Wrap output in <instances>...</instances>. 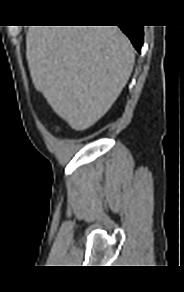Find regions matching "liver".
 Instances as JSON below:
<instances>
[{
  "label": "liver",
  "mask_w": 184,
  "mask_h": 292,
  "mask_svg": "<svg viewBox=\"0 0 184 292\" xmlns=\"http://www.w3.org/2000/svg\"><path fill=\"white\" fill-rule=\"evenodd\" d=\"M26 56L36 90L77 131L107 113L135 62L117 26H31Z\"/></svg>",
  "instance_id": "liver-1"
}]
</instances>
